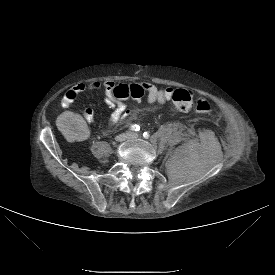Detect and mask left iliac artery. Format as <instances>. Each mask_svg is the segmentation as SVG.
Listing matches in <instances>:
<instances>
[{
	"label": "left iliac artery",
	"mask_w": 275,
	"mask_h": 275,
	"mask_svg": "<svg viewBox=\"0 0 275 275\" xmlns=\"http://www.w3.org/2000/svg\"><path fill=\"white\" fill-rule=\"evenodd\" d=\"M149 136H150L149 133H147V132H144V133H143V137H144L145 139H148Z\"/></svg>",
	"instance_id": "44dca946"
}]
</instances>
